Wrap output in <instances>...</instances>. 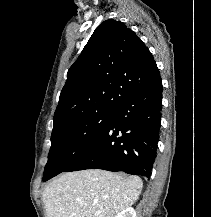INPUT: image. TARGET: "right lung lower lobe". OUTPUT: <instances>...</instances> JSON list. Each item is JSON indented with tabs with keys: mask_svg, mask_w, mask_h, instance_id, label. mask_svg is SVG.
Instances as JSON below:
<instances>
[{
	"mask_svg": "<svg viewBox=\"0 0 211 217\" xmlns=\"http://www.w3.org/2000/svg\"><path fill=\"white\" fill-rule=\"evenodd\" d=\"M162 90L159 77L133 92L117 107L99 141L66 171L104 169L150 178L159 140Z\"/></svg>",
	"mask_w": 211,
	"mask_h": 217,
	"instance_id": "98d812e1",
	"label": "right lung lower lobe"
}]
</instances>
